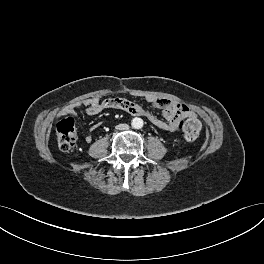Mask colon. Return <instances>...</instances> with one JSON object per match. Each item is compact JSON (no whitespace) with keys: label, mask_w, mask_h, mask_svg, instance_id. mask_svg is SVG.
I'll use <instances>...</instances> for the list:
<instances>
[{"label":"colon","mask_w":264,"mask_h":264,"mask_svg":"<svg viewBox=\"0 0 264 264\" xmlns=\"http://www.w3.org/2000/svg\"><path fill=\"white\" fill-rule=\"evenodd\" d=\"M180 129L186 140L193 141L200 133L201 124L196 118H186L181 121ZM56 133L59 148L64 152L71 151L77 138L74 118L72 116L61 118L56 125Z\"/></svg>","instance_id":"obj_1"}]
</instances>
